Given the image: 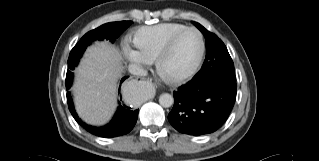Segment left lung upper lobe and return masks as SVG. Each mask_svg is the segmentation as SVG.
<instances>
[{
  "label": "left lung upper lobe",
  "mask_w": 319,
  "mask_h": 161,
  "mask_svg": "<svg viewBox=\"0 0 319 161\" xmlns=\"http://www.w3.org/2000/svg\"><path fill=\"white\" fill-rule=\"evenodd\" d=\"M193 24L204 34L206 40V58L193 79L221 77L236 82L234 64L225 44L199 23Z\"/></svg>",
  "instance_id": "5c2ea615"
}]
</instances>
